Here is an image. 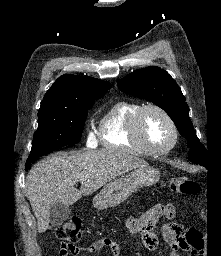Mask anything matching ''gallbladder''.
<instances>
[{
  "instance_id": "obj_1",
  "label": "gallbladder",
  "mask_w": 221,
  "mask_h": 256,
  "mask_svg": "<svg viewBox=\"0 0 221 256\" xmlns=\"http://www.w3.org/2000/svg\"><path fill=\"white\" fill-rule=\"evenodd\" d=\"M71 208L69 205L55 203L50 209V222L53 227H57L63 224V222L69 217Z\"/></svg>"
}]
</instances>
